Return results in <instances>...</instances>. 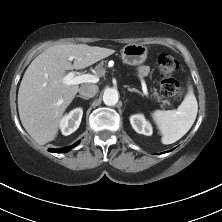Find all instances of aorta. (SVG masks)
Segmentation results:
<instances>
[{"label":"aorta","mask_w":222,"mask_h":222,"mask_svg":"<svg viewBox=\"0 0 222 222\" xmlns=\"http://www.w3.org/2000/svg\"><path fill=\"white\" fill-rule=\"evenodd\" d=\"M119 100V94L116 89L108 88L105 90L103 94V102L107 106H113L115 105Z\"/></svg>","instance_id":"aorta-1"}]
</instances>
